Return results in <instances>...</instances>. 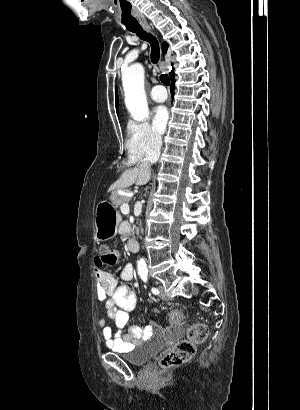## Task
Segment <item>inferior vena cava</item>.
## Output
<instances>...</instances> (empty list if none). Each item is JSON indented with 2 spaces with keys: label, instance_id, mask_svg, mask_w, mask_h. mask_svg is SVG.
Returning a JSON list of instances; mask_svg holds the SVG:
<instances>
[{
  "label": "inferior vena cava",
  "instance_id": "obj_1",
  "mask_svg": "<svg viewBox=\"0 0 300 410\" xmlns=\"http://www.w3.org/2000/svg\"><path fill=\"white\" fill-rule=\"evenodd\" d=\"M152 144H153L152 149L147 153L146 157L139 164L140 168L150 169L151 165L158 160L160 156L161 145H162L161 136L155 135L153 138Z\"/></svg>",
  "mask_w": 300,
  "mask_h": 410
}]
</instances>
